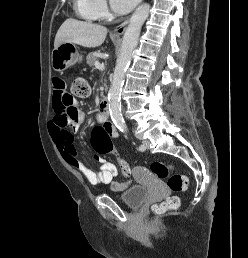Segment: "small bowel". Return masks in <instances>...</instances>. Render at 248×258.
Returning a JSON list of instances; mask_svg holds the SVG:
<instances>
[{"label": "small bowel", "instance_id": "small-bowel-1", "mask_svg": "<svg viewBox=\"0 0 248 258\" xmlns=\"http://www.w3.org/2000/svg\"><path fill=\"white\" fill-rule=\"evenodd\" d=\"M73 105L74 100L66 90L63 79L54 78L52 80L54 117L49 123V129L63 159L68 164L78 168L92 186L109 185L114 191L127 189L130 186V180L116 181L117 168L105 158L96 156V160L99 163L98 170L90 169L78 160L71 131H76L79 128L84 116L77 111L68 126L63 125L58 117V114L68 112L71 108H74ZM98 121L109 135L113 137L118 135L116 128L108 120L103 119L101 115L98 116Z\"/></svg>", "mask_w": 248, "mask_h": 258}]
</instances>
